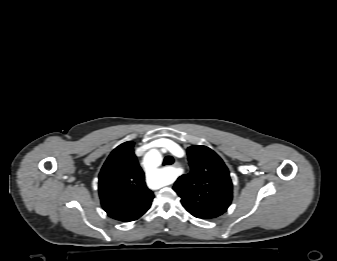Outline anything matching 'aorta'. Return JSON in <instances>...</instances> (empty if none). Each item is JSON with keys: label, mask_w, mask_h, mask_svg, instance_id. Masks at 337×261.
<instances>
[{"label": "aorta", "mask_w": 337, "mask_h": 261, "mask_svg": "<svg viewBox=\"0 0 337 261\" xmlns=\"http://www.w3.org/2000/svg\"><path fill=\"white\" fill-rule=\"evenodd\" d=\"M144 163L146 168L150 171L151 175L159 178L161 186H165L173 182V169L157 168L162 163V156L158 150H150L144 158Z\"/></svg>", "instance_id": "aorta-1"}]
</instances>
